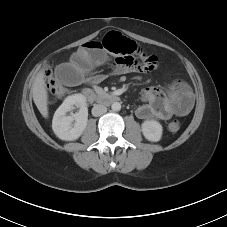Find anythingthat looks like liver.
Here are the masks:
<instances>
[{
    "instance_id": "liver-1",
    "label": "liver",
    "mask_w": 227,
    "mask_h": 227,
    "mask_svg": "<svg viewBox=\"0 0 227 227\" xmlns=\"http://www.w3.org/2000/svg\"><path fill=\"white\" fill-rule=\"evenodd\" d=\"M33 100L44 118L48 117V93L45 84V73L40 71L32 85Z\"/></svg>"
}]
</instances>
